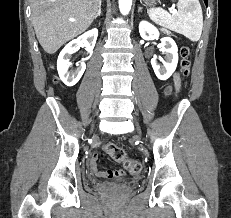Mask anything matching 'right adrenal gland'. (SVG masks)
Listing matches in <instances>:
<instances>
[{"label":"right adrenal gland","instance_id":"1","mask_svg":"<svg viewBox=\"0 0 231 218\" xmlns=\"http://www.w3.org/2000/svg\"><path fill=\"white\" fill-rule=\"evenodd\" d=\"M100 15H101V0H100V3H99V9H98L97 15L95 16L94 19H97Z\"/></svg>","mask_w":231,"mask_h":218}]
</instances>
